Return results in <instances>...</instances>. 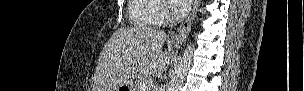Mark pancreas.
Returning <instances> with one entry per match:
<instances>
[{"label":"pancreas","mask_w":304,"mask_h":91,"mask_svg":"<svg viewBox=\"0 0 304 91\" xmlns=\"http://www.w3.org/2000/svg\"><path fill=\"white\" fill-rule=\"evenodd\" d=\"M150 80H152L150 76H142V75L137 76L135 80V90L141 91L143 83Z\"/></svg>","instance_id":"obj_1"}]
</instances>
